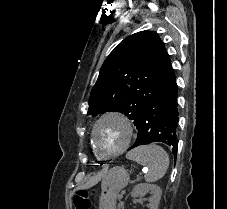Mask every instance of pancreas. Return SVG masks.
<instances>
[{
  "mask_svg": "<svg viewBox=\"0 0 227 209\" xmlns=\"http://www.w3.org/2000/svg\"><path fill=\"white\" fill-rule=\"evenodd\" d=\"M118 202V204H117V209H122V207H123V203L125 202L123 199H120V200H118L117 201Z\"/></svg>",
  "mask_w": 227,
  "mask_h": 209,
  "instance_id": "cf45deb5",
  "label": "pancreas"
}]
</instances>
